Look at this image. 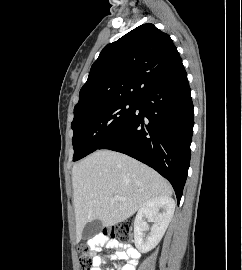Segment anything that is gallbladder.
Here are the masks:
<instances>
[{
  "instance_id": "bac80fb5",
  "label": "gallbladder",
  "mask_w": 242,
  "mask_h": 270,
  "mask_svg": "<svg viewBox=\"0 0 242 270\" xmlns=\"http://www.w3.org/2000/svg\"><path fill=\"white\" fill-rule=\"evenodd\" d=\"M102 229V222L99 219L88 222L83 229V238L88 239L100 232Z\"/></svg>"
}]
</instances>
